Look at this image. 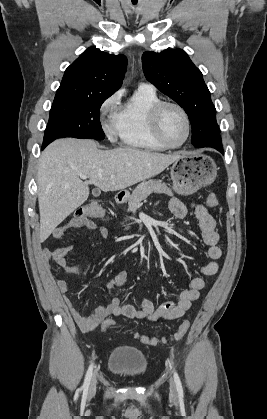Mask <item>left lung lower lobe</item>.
Instances as JSON below:
<instances>
[{
  "mask_svg": "<svg viewBox=\"0 0 267 419\" xmlns=\"http://www.w3.org/2000/svg\"><path fill=\"white\" fill-rule=\"evenodd\" d=\"M213 136H214V135L210 134V136H209V137H210V139L208 140V142L201 143V147H213V148L217 149L218 151L223 152V147H222V145H221V146H219V145L215 144V143H214ZM201 147H198V148H201Z\"/></svg>",
  "mask_w": 267,
  "mask_h": 419,
  "instance_id": "obj_1",
  "label": "left lung lower lobe"
}]
</instances>
